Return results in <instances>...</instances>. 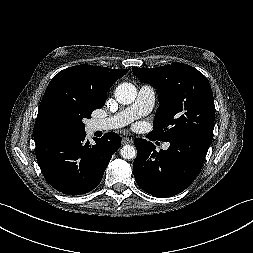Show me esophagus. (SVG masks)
Returning a JSON list of instances; mask_svg holds the SVG:
<instances>
[{"label": "esophagus", "mask_w": 253, "mask_h": 253, "mask_svg": "<svg viewBox=\"0 0 253 253\" xmlns=\"http://www.w3.org/2000/svg\"><path fill=\"white\" fill-rule=\"evenodd\" d=\"M133 143V140L131 138H128V137H124L122 139V144L123 145H126V144H132Z\"/></svg>", "instance_id": "esophagus-1"}]
</instances>
